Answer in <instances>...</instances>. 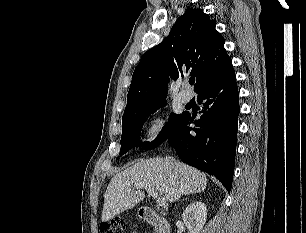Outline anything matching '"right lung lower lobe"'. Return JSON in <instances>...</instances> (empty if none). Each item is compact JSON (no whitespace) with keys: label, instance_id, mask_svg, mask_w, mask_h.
Here are the masks:
<instances>
[{"label":"right lung lower lobe","instance_id":"1","mask_svg":"<svg viewBox=\"0 0 306 233\" xmlns=\"http://www.w3.org/2000/svg\"><path fill=\"white\" fill-rule=\"evenodd\" d=\"M239 94L234 70L208 84L198 93L203 104L194 121L185 113L177 130L167 139L186 164L214 175L230 191L235 164Z\"/></svg>","mask_w":306,"mask_h":233}]
</instances>
